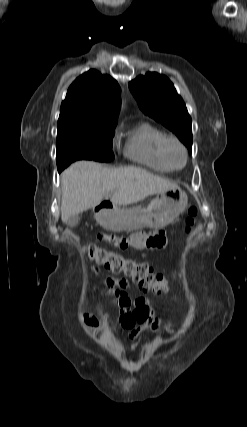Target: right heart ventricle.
Returning a JSON list of instances; mask_svg holds the SVG:
<instances>
[{
  "instance_id": "1",
  "label": "right heart ventricle",
  "mask_w": 247,
  "mask_h": 427,
  "mask_svg": "<svg viewBox=\"0 0 247 427\" xmlns=\"http://www.w3.org/2000/svg\"><path fill=\"white\" fill-rule=\"evenodd\" d=\"M165 133L148 122H141L128 135L125 155L128 159L157 172H170L172 169L162 157L161 145Z\"/></svg>"
}]
</instances>
